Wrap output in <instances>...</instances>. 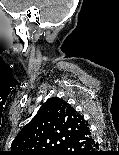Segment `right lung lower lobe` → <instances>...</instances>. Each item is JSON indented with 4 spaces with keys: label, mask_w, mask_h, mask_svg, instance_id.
<instances>
[{
    "label": "right lung lower lobe",
    "mask_w": 119,
    "mask_h": 155,
    "mask_svg": "<svg viewBox=\"0 0 119 155\" xmlns=\"http://www.w3.org/2000/svg\"><path fill=\"white\" fill-rule=\"evenodd\" d=\"M98 143L87 127L82 133L69 140L57 155H98Z\"/></svg>",
    "instance_id": "98d812e1"
}]
</instances>
